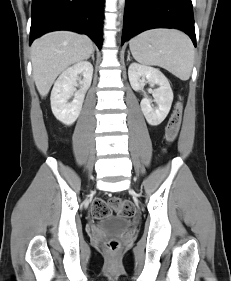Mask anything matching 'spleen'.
<instances>
[{
  "mask_svg": "<svg viewBox=\"0 0 231 281\" xmlns=\"http://www.w3.org/2000/svg\"><path fill=\"white\" fill-rule=\"evenodd\" d=\"M129 47L134 59L159 66L180 80L190 78L195 50L190 38L175 29H152L132 38Z\"/></svg>",
  "mask_w": 231,
  "mask_h": 281,
  "instance_id": "1",
  "label": "spleen"
}]
</instances>
